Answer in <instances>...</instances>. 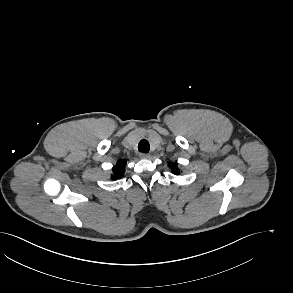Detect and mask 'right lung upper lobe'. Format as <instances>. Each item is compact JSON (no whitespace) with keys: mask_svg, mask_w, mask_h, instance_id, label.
<instances>
[{"mask_svg":"<svg viewBox=\"0 0 293 293\" xmlns=\"http://www.w3.org/2000/svg\"><path fill=\"white\" fill-rule=\"evenodd\" d=\"M126 166V160H119L116 166L113 168V175L111 178L113 180L119 179L124 176Z\"/></svg>","mask_w":293,"mask_h":293,"instance_id":"right-lung-upper-lobe-1","label":"right lung upper lobe"}]
</instances>
